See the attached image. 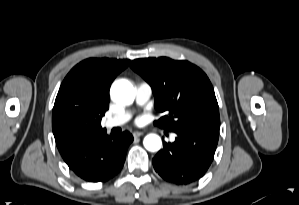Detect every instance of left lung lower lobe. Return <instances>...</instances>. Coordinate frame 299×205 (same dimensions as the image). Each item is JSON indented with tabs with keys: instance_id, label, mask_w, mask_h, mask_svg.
Returning a JSON list of instances; mask_svg holds the SVG:
<instances>
[{
	"instance_id": "1",
	"label": "left lung lower lobe",
	"mask_w": 299,
	"mask_h": 205,
	"mask_svg": "<svg viewBox=\"0 0 299 205\" xmlns=\"http://www.w3.org/2000/svg\"><path fill=\"white\" fill-rule=\"evenodd\" d=\"M175 142L164 143L153 158V166L166 181L186 185L201 178L214 158L219 125L174 130Z\"/></svg>"
}]
</instances>
